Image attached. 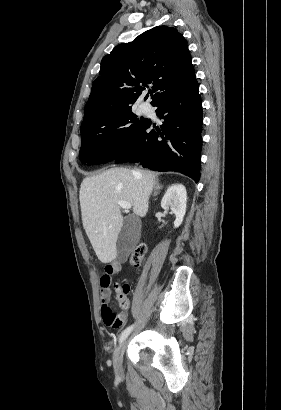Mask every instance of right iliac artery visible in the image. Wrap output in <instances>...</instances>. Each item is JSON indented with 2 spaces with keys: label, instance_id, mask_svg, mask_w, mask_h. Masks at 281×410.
I'll list each match as a JSON object with an SVG mask.
<instances>
[{
  "label": "right iliac artery",
  "instance_id": "right-iliac-artery-1",
  "mask_svg": "<svg viewBox=\"0 0 281 410\" xmlns=\"http://www.w3.org/2000/svg\"><path fill=\"white\" fill-rule=\"evenodd\" d=\"M132 329H133V325L127 327L124 331H122V333L120 335V342H122L123 340L126 339V337L130 334Z\"/></svg>",
  "mask_w": 281,
  "mask_h": 410
}]
</instances>
